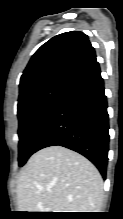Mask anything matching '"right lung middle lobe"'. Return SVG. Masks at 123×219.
Returning <instances> with one entry per match:
<instances>
[{
    "label": "right lung middle lobe",
    "mask_w": 123,
    "mask_h": 219,
    "mask_svg": "<svg viewBox=\"0 0 123 219\" xmlns=\"http://www.w3.org/2000/svg\"><path fill=\"white\" fill-rule=\"evenodd\" d=\"M68 81L57 80L30 89L18 99L19 166L35 152L34 144Z\"/></svg>",
    "instance_id": "right-lung-middle-lobe-1"
}]
</instances>
